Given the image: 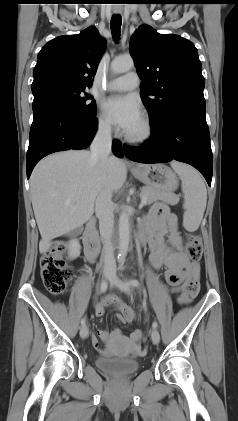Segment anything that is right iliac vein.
I'll use <instances>...</instances> for the list:
<instances>
[{
  "label": "right iliac vein",
  "mask_w": 238,
  "mask_h": 421,
  "mask_svg": "<svg viewBox=\"0 0 238 421\" xmlns=\"http://www.w3.org/2000/svg\"><path fill=\"white\" fill-rule=\"evenodd\" d=\"M108 273H109V268H107V267L104 268L103 269V277L106 278L108 276ZM88 335H89L88 327L86 325L82 326V328L80 329V336L83 339H86L88 337Z\"/></svg>",
  "instance_id": "63e3f726"
}]
</instances>
